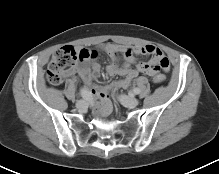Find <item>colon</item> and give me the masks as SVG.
I'll return each instance as SVG.
<instances>
[{"instance_id": "1", "label": "colon", "mask_w": 219, "mask_h": 174, "mask_svg": "<svg viewBox=\"0 0 219 174\" xmlns=\"http://www.w3.org/2000/svg\"><path fill=\"white\" fill-rule=\"evenodd\" d=\"M94 51L81 53L72 47H63L54 52L47 68V80L53 85L59 84L63 78L75 70L78 63L84 58L95 57ZM157 85L165 82V76L158 74L153 78Z\"/></svg>"}]
</instances>
